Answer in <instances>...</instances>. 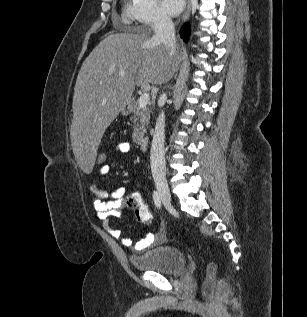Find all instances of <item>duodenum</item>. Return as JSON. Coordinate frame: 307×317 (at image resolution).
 <instances>
[{
  "instance_id": "1",
  "label": "duodenum",
  "mask_w": 307,
  "mask_h": 317,
  "mask_svg": "<svg viewBox=\"0 0 307 317\" xmlns=\"http://www.w3.org/2000/svg\"><path fill=\"white\" fill-rule=\"evenodd\" d=\"M148 143H149V139L147 137H142L140 139V146L143 148V149H146L148 147Z\"/></svg>"
}]
</instances>
